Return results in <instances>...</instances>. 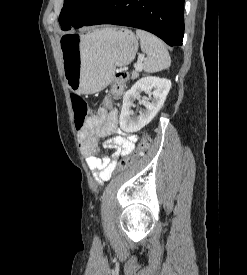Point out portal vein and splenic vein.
<instances>
[{
    "instance_id": "18ae733b",
    "label": "portal vein and splenic vein",
    "mask_w": 247,
    "mask_h": 275,
    "mask_svg": "<svg viewBox=\"0 0 247 275\" xmlns=\"http://www.w3.org/2000/svg\"><path fill=\"white\" fill-rule=\"evenodd\" d=\"M144 59V55L140 56L138 61H137V64L135 65V69L137 71H141L142 70V61Z\"/></svg>"
}]
</instances>
